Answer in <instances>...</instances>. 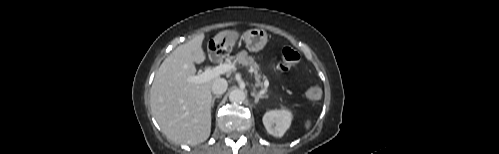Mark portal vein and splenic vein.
I'll return each mask as SVG.
<instances>
[{
    "label": "portal vein and splenic vein",
    "instance_id": "obj_1",
    "mask_svg": "<svg viewBox=\"0 0 499 154\" xmlns=\"http://www.w3.org/2000/svg\"><path fill=\"white\" fill-rule=\"evenodd\" d=\"M235 68V66L231 63H224V64H220L214 68H207L203 73L201 74H198V75H194V76H189L186 78V81L187 82H191V83H204V82H207L211 79H214L222 74H225L227 72H230L231 70H233ZM269 83L268 81L265 82V88L263 89L262 92H264L266 90V88L268 87Z\"/></svg>",
    "mask_w": 499,
    "mask_h": 154
}]
</instances>
